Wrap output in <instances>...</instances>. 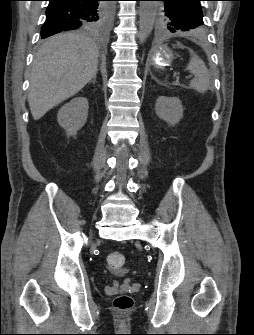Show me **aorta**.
I'll use <instances>...</instances> for the list:
<instances>
[{
	"instance_id": "1",
	"label": "aorta",
	"mask_w": 254,
	"mask_h": 335,
	"mask_svg": "<svg viewBox=\"0 0 254 335\" xmlns=\"http://www.w3.org/2000/svg\"><path fill=\"white\" fill-rule=\"evenodd\" d=\"M156 12L157 3L155 1L140 2L138 38L141 42L150 35L155 23Z\"/></svg>"
}]
</instances>
